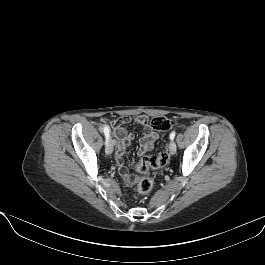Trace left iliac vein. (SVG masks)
Returning <instances> with one entry per match:
<instances>
[{
    "instance_id": "left-iliac-vein-1",
    "label": "left iliac vein",
    "mask_w": 265,
    "mask_h": 265,
    "mask_svg": "<svg viewBox=\"0 0 265 265\" xmlns=\"http://www.w3.org/2000/svg\"><path fill=\"white\" fill-rule=\"evenodd\" d=\"M168 147H169V151L172 155L176 153V144L174 141H170Z\"/></svg>"
}]
</instances>
